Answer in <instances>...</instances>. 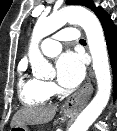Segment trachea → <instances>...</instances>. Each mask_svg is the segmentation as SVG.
Returning <instances> with one entry per match:
<instances>
[{"label": "trachea", "mask_w": 117, "mask_h": 131, "mask_svg": "<svg viewBox=\"0 0 117 131\" xmlns=\"http://www.w3.org/2000/svg\"><path fill=\"white\" fill-rule=\"evenodd\" d=\"M79 42L80 43H86V41L84 39H80Z\"/></svg>", "instance_id": "3493384b"}]
</instances>
